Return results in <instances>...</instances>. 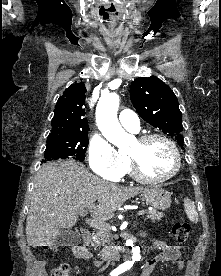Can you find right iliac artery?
Wrapping results in <instances>:
<instances>
[{"instance_id": "right-iliac-artery-1", "label": "right iliac artery", "mask_w": 221, "mask_h": 276, "mask_svg": "<svg viewBox=\"0 0 221 276\" xmlns=\"http://www.w3.org/2000/svg\"><path fill=\"white\" fill-rule=\"evenodd\" d=\"M125 270H126L125 267H122V266L118 267L117 269H115L111 272V276H117L120 273L124 272Z\"/></svg>"}]
</instances>
